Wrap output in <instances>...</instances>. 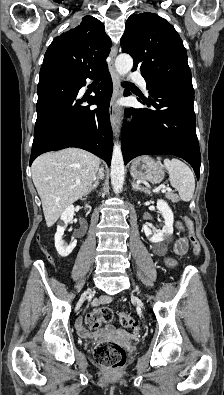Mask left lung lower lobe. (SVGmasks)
<instances>
[{
  "mask_svg": "<svg viewBox=\"0 0 224 395\" xmlns=\"http://www.w3.org/2000/svg\"><path fill=\"white\" fill-rule=\"evenodd\" d=\"M142 99L155 110L131 108L133 123L122 128V153L127 164L140 155L169 154L186 160L200 174L201 156L193 108L194 89L160 85ZM125 96L130 95L125 91Z\"/></svg>",
  "mask_w": 224,
  "mask_h": 395,
  "instance_id": "obj_1",
  "label": "left lung lower lobe"
}]
</instances>
